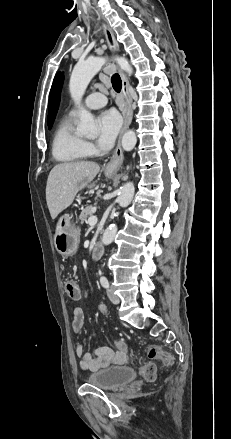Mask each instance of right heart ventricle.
<instances>
[{
    "mask_svg": "<svg viewBox=\"0 0 231 439\" xmlns=\"http://www.w3.org/2000/svg\"><path fill=\"white\" fill-rule=\"evenodd\" d=\"M52 155L61 163L79 162L88 155L86 142L75 131L71 116L64 118L55 131Z\"/></svg>",
    "mask_w": 231,
    "mask_h": 439,
    "instance_id": "right-heart-ventricle-1",
    "label": "right heart ventricle"
}]
</instances>
